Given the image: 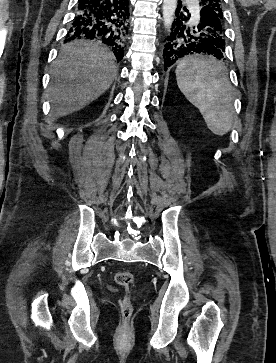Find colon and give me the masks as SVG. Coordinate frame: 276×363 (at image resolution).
<instances>
[{
    "label": "colon",
    "instance_id": "1",
    "mask_svg": "<svg viewBox=\"0 0 276 363\" xmlns=\"http://www.w3.org/2000/svg\"><path fill=\"white\" fill-rule=\"evenodd\" d=\"M114 279L118 285L126 290H129L134 285V276L129 271H117L114 275ZM118 307L122 319H129L132 314V304L129 296H124L119 301Z\"/></svg>",
    "mask_w": 276,
    "mask_h": 363
}]
</instances>
